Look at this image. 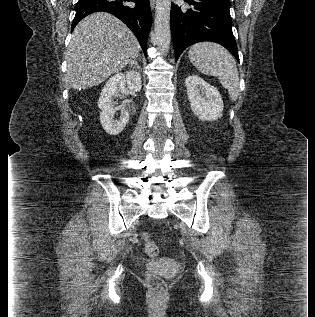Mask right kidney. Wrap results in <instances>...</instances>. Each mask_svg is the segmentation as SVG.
I'll return each instance as SVG.
<instances>
[{"instance_id": "right-kidney-1", "label": "right kidney", "mask_w": 315, "mask_h": 317, "mask_svg": "<svg viewBox=\"0 0 315 317\" xmlns=\"http://www.w3.org/2000/svg\"><path fill=\"white\" fill-rule=\"evenodd\" d=\"M132 92H140L141 90V76L135 71H128L126 73H117L111 77L104 88L102 89L98 107L101 110L100 122L106 133L110 135L119 134L128 124L129 112L123 110L121 117L117 120L114 119V104L113 97L117 93H125L127 88Z\"/></svg>"}]
</instances>
